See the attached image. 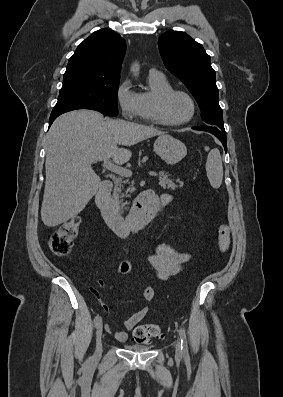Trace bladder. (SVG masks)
<instances>
[{"label":"bladder","instance_id":"1","mask_svg":"<svg viewBox=\"0 0 283 397\" xmlns=\"http://www.w3.org/2000/svg\"><path fill=\"white\" fill-rule=\"evenodd\" d=\"M127 349L135 352H146L149 351L152 346L151 345H127Z\"/></svg>","mask_w":283,"mask_h":397}]
</instances>
